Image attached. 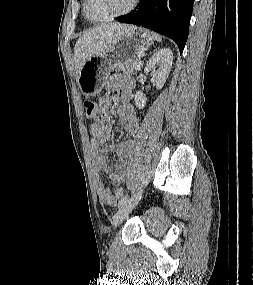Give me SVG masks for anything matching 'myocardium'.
I'll list each match as a JSON object with an SVG mask.
<instances>
[{
    "instance_id": "f54148a6",
    "label": "myocardium",
    "mask_w": 253,
    "mask_h": 285,
    "mask_svg": "<svg viewBox=\"0 0 253 285\" xmlns=\"http://www.w3.org/2000/svg\"><path fill=\"white\" fill-rule=\"evenodd\" d=\"M87 2H88V0H83V13H84L85 17L89 21H91V22L98 23V22L111 21V20H114V19L119 18L121 16L129 14L130 12H132L138 6L140 0H133L131 2V4L129 5V7L126 8L125 10H123V11H121L119 13H116L114 15H111V16L103 17V18H93V17H91L88 14V11H87Z\"/></svg>"
}]
</instances>
